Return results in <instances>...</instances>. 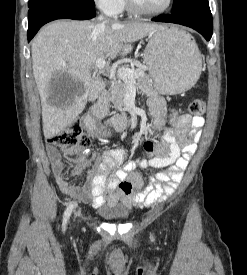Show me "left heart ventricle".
I'll return each instance as SVG.
<instances>
[{
    "label": "left heart ventricle",
    "mask_w": 247,
    "mask_h": 275,
    "mask_svg": "<svg viewBox=\"0 0 247 275\" xmlns=\"http://www.w3.org/2000/svg\"><path fill=\"white\" fill-rule=\"evenodd\" d=\"M139 5L148 10H156L162 8L167 0H136Z\"/></svg>",
    "instance_id": "b2bd125f"
}]
</instances>
